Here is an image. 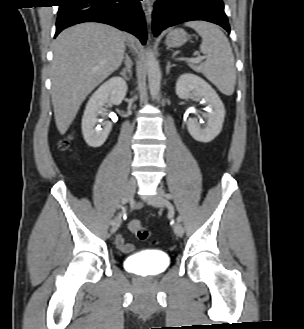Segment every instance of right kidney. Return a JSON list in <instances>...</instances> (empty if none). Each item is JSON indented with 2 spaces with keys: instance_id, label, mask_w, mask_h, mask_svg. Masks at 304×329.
Returning a JSON list of instances; mask_svg holds the SVG:
<instances>
[{
  "instance_id": "1",
  "label": "right kidney",
  "mask_w": 304,
  "mask_h": 329,
  "mask_svg": "<svg viewBox=\"0 0 304 329\" xmlns=\"http://www.w3.org/2000/svg\"><path fill=\"white\" fill-rule=\"evenodd\" d=\"M127 92L126 82L120 77H112L103 83L90 97L82 118V133L91 147H100L106 141L112 124L109 121L97 125L98 116L105 115L106 104L119 105Z\"/></svg>"
}]
</instances>
